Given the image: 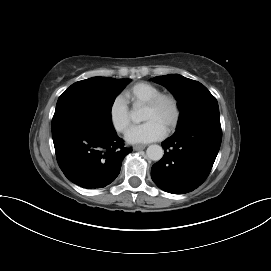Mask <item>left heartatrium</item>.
<instances>
[{
  "instance_id": "left-heart-atrium-1",
  "label": "left heart atrium",
  "mask_w": 271,
  "mask_h": 271,
  "mask_svg": "<svg viewBox=\"0 0 271 271\" xmlns=\"http://www.w3.org/2000/svg\"><path fill=\"white\" fill-rule=\"evenodd\" d=\"M166 129L155 120H148L145 123L131 127L125 139L131 144L149 143L163 138Z\"/></svg>"
}]
</instances>
